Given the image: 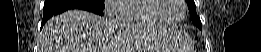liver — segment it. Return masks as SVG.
<instances>
[{"mask_svg":"<svg viewBox=\"0 0 261 52\" xmlns=\"http://www.w3.org/2000/svg\"><path fill=\"white\" fill-rule=\"evenodd\" d=\"M164 40L162 28L149 32L140 24L127 25L114 17L72 9L46 22L39 52H122V44H128L129 50H153Z\"/></svg>","mask_w":261,"mask_h":52,"instance_id":"1","label":"liver"}]
</instances>
